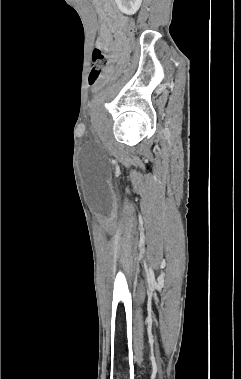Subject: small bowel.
I'll return each instance as SVG.
<instances>
[{"mask_svg":"<svg viewBox=\"0 0 241 379\" xmlns=\"http://www.w3.org/2000/svg\"><path fill=\"white\" fill-rule=\"evenodd\" d=\"M111 1L112 0H95V4L100 17V29L97 43L103 48L112 50L110 62H113L121 56L126 44L124 33L126 30L127 19L125 16L118 14L111 7ZM114 34H118L120 40L115 45H112V37ZM110 73L111 67H108L105 77L109 76Z\"/></svg>","mask_w":241,"mask_h":379,"instance_id":"c3829d8e","label":"small bowel"}]
</instances>
